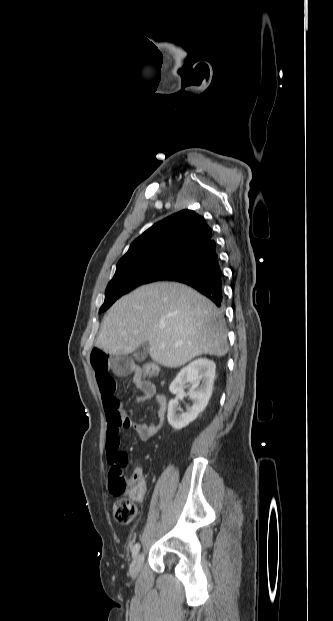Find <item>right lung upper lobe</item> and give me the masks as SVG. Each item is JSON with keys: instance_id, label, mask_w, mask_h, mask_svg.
I'll use <instances>...</instances> for the list:
<instances>
[{"instance_id": "cb5924a9", "label": "right lung upper lobe", "mask_w": 333, "mask_h": 621, "mask_svg": "<svg viewBox=\"0 0 333 621\" xmlns=\"http://www.w3.org/2000/svg\"><path fill=\"white\" fill-rule=\"evenodd\" d=\"M212 239V229L202 216L193 210H181L135 239L118 263L161 257L186 258Z\"/></svg>"}]
</instances>
